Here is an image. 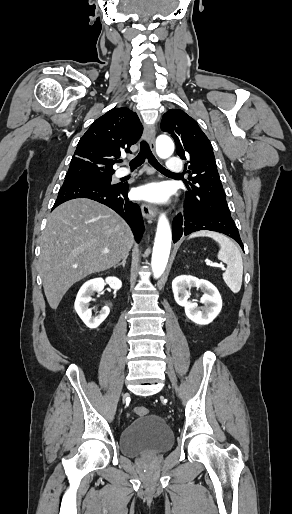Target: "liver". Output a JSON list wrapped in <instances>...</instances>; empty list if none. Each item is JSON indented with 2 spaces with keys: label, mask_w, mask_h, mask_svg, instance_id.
Returning a JSON list of instances; mask_svg holds the SVG:
<instances>
[{
  "label": "liver",
  "mask_w": 292,
  "mask_h": 514,
  "mask_svg": "<svg viewBox=\"0 0 292 514\" xmlns=\"http://www.w3.org/2000/svg\"><path fill=\"white\" fill-rule=\"evenodd\" d=\"M133 244L129 226L107 206L87 198L58 206L40 238V274L50 308L57 310L75 282L119 264Z\"/></svg>",
  "instance_id": "liver-1"
}]
</instances>
